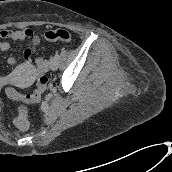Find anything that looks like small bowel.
I'll return each instance as SVG.
<instances>
[{"label": "small bowel", "instance_id": "1", "mask_svg": "<svg viewBox=\"0 0 172 172\" xmlns=\"http://www.w3.org/2000/svg\"><path fill=\"white\" fill-rule=\"evenodd\" d=\"M45 39L43 34H34L31 29H2L0 30V50L7 51L11 47V41H28V46L23 52V56L25 59V65L30 66L32 62V56L36 52L37 45L39 44L41 39ZM47 40V39H45ZM7 63L10 66H16L17 60L14 57H9ZM2 79L0 78V81Z\"/></svg>", "mask_w": 172, "mask_h": 172}]
</instances>
